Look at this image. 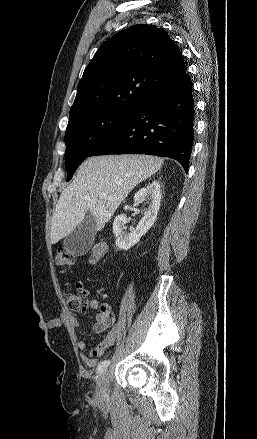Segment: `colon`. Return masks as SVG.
Instances as JSON below:
<instances>
[{
  "label": "colon",
  "instance_id": "1",
  "mask_svg": "<svg viewBox=\"0 0 257 439\" xmlns=\"http://www.w3.org/2000/svg\"><path fill=\"white\" fill-rule=\"evenodd\" d=\"M107 244L103 239L97 241L90 251V261L92 264H98L105 257ZM75 262V256L65 248H59L55 255V263L58 266H70ZM85 289L81 285H76L74 290H68L65 293V301L71 310H80L83 306Z\"/></svg>",
  "mask_w": 257,
  "mask_h": 439
}]
</instances>
